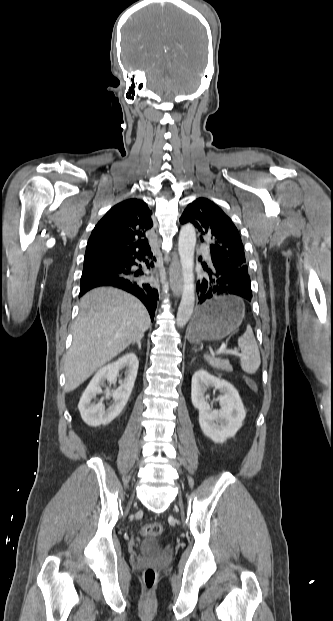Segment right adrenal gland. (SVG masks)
<instances>
[{"mask_svg": "<svg viewBox=\"0 0 333 621\" xmlns=\"http://www.w3.org/2000/svg\"><path fill=\"white\" fill-rule=\"evenodd\" d=\"M143 336H141L140 338H138L137 340L132 342V345L137 344L138 348L141 349V340H142Z\"/></svg>", "mask_w": 333, "mask_h": 621, "instance_id": "2a0ac1e0", "label": "right adrenal gland"}]
</instances>
